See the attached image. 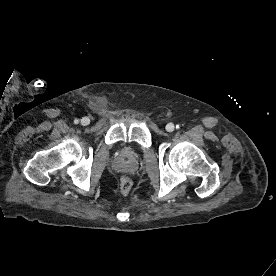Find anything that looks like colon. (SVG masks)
<instances>
[{"mask_svg":"<svg viewBox=\"0 0 276 276\" xmlns=\"http://www.w3.org/2000/svg\"><path fill=\"white\" fill-rule=\"evenodd\" d=\"M118 188L121 194H128L132 189V181L128 177H121L119 180Z\"/></svg>","mask_w":276,"mask_h":276,"instance_id":"colon-1","label":"colon"}]
</instances>
